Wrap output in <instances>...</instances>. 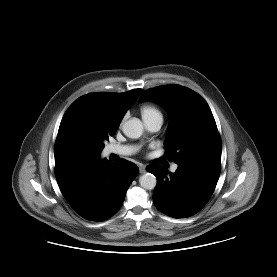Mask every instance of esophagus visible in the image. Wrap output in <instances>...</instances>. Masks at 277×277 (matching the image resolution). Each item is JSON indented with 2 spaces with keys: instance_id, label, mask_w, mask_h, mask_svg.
<instances>
[{
  "instance_id": "34e87169",
  "label": "esophagus",
  "mask_w": 277,
  "mask_h": 277,
  "mask_svg": "<svg viewBox=\"0 0 277 277\" xmlns=\"http://www.w3.org/2000/svg\"><path fill=\"white\" fill-rule=\"evenodd\" d=\"M139 170H140V173H145L146 172V166L143 165V164H140L139 165Z\"/></svg>"
}]
</instances>
